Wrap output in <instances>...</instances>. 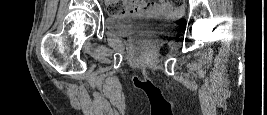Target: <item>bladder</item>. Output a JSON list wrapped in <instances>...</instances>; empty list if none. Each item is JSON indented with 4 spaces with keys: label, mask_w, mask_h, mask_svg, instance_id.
I'll list each match as a JSON object with an SVG mask.
<instances>
[{
    "label": "bladder",
    "mask_w": 267,
    "mask_h": 115,
    "mask_svg": "<svg viewBox=\"0 0 267 115\" xmlns=\"http://www.w3.org/2000/svg\"><path fill=\"white\" fill-rule=\"evenodd\" d=\"M161 18L159 14L125 13L106 17V28L119 37L153 33V24Z\"/></svg>",
    "instance_id": "31cf9c89"
}]
</instances>
